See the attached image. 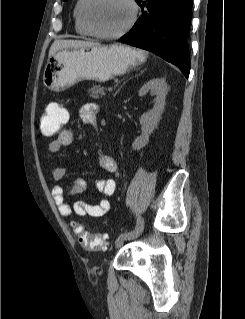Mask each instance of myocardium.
<instances>
[{
  "label": "myocardium",
  "mask_w": 245,
  "mask_h": 319,
  "mask_svg": "<svg viewBox=\"0 0 245 319\" xmlns=\"http://www.w3.org/2000/svg\"><path fill=\"white\" fill-rule=\"evenodd\" d=\"M131 8V17L127 24L117 32L114 33H104L95 28L89 18V9L94 0H85V3L82 7V18L85 26L90 31V33L100 39L113 40L118 39L125 35L136 23L139 15V7L136 0H126Z\"/></svg>",
  "instance_id": "obj_1"
}]
</instances>
